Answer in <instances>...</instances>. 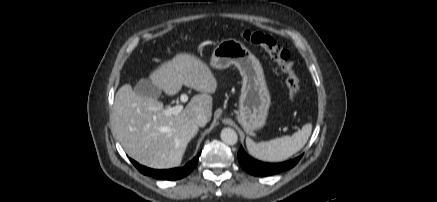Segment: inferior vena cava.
Wrapping results in <instances>:
<instances>
[{"label":"inferior vena cava","mask_w":437,"mask_h":202,"mask_svg":"<svg viewBox=\"0 0 437 202\" xmlns=\"http://www.w3.org/2000/svg\"><path fill=\"white\" fill-rule=\"evenodd\" d=\"M208 121V116L205 113H199L196 117V123L200 127H204Z\"/></svg>","instance_id":"inferior-vena-cava-1"}]
</instances>
